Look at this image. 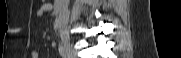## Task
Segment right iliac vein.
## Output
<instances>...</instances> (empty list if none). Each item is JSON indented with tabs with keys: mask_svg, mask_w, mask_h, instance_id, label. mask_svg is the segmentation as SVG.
<instances>
[{
	"mask_svg": "<svg viewBox=\"0 0 181 58\" xmlns=\"http://www.w3.org/2000/svg\"><path fill=\"white\" fill-rule=\"evenodd\" d=\"M62 45L66 50L67 56L69 58H74L75 52H74V49H73L68 37L62 36Z\"/></svg>",
	"mask_w": 181,
	"mask_h": 58,
	"instance_id": "right-iliac-vein-1",
	"label": "right iliac vein"
}]
</instances>
